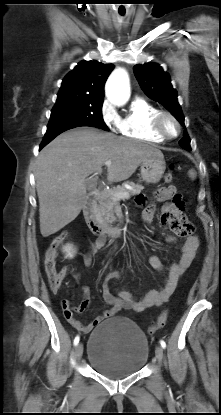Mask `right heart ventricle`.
<instances>
[{
	"mask_svg": "<svg viewBox=\"0 0 221 415\" xmlns=\"http://www.w3.org/2000/svg\"><path fill=\"white\" fill-rule=\"evenodd\" d=\"M160 110L143 98H135L124 116L119 118L121 135L148 143H162L163 137L152 127V120Z\"/></svg>",
	"mask_w": 221,
	"mask_h": 415,
	"instance_id": "right-heart-ventricle-1",
	"label": "right heart ventricle"
}]
</instances>
